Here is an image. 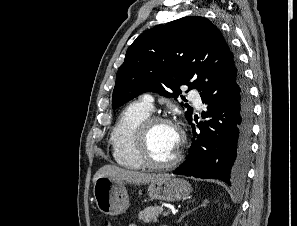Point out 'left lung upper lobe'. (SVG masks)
I'll use <instances>...</instances> for the list:
<instances>
[{
    "label": "left lung upper lobe",
    "mask_w": 297,
    "mask_h": 226,
    "mask_svg": "<svg viewBox=\"0 0 297 226\" xmlns=\"http://www.w3.org/2000/svg\"><path fill=\"white\" fill-rule=\"evenodd\" d=\"M240 74L220 30L204 17L188 16L138 36L118 69L112 106L148 91L176 98L181 85L201 92L205 86L232 84ZM192 112L191 107L185 112L188 122Z\"/></svg>",
    "instance_id": "5c2ea615"
}]
</instances>
